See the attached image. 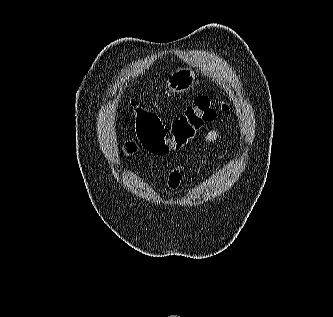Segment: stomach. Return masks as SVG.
I'll list each match as a JSON object with an SVG mask.
<instances>
[{"instance_id":"1","label":"stomach","mask_w":333,"mask_h":317,"mask_svg":"<svg viewBox=\"0 0 333 317\" xmlns=\"http://www.w3.org/2000/svg\"><path fill=\"white\" fill-rule=\"evenodd\" d=\"M195 81V74L191 69L182 68L174 71L167 81V87L171 92L182 93L189 90Z\"/></svg>"}]
</instances>
